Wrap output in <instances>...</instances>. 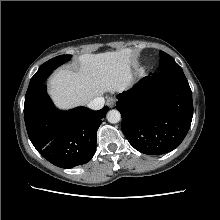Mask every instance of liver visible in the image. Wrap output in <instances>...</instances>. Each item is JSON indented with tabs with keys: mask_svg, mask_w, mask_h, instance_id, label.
<instances>
[{
	"mask_svg": "<svg viewBox=\"0 0 220 220\" xmlns=\"http://www.w3.org/2000/svg\"><path fill=\"white\" fill-rule=\"evenodd\" d=\"M133 51L83 54L78 71L61 69L49 79V93L60 109L87 105L106 92H122L133 83L131 62Z\"/></svg>",
	"mask_w": 220,
	"mask_h": 220,
	"instance_id": "obj_1",
	"label": "liver"
}]
</instances>
